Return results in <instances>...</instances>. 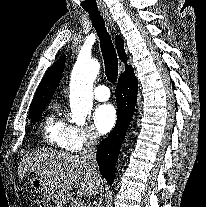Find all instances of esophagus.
<instances>
[{"label": "esophagus", "instance_id": "34e87169", "mask_svg": "<svg viewBox=\"0 0 206 207\" xmlns=\"http://www.w3.org/2000/svg\"><path fill=\"white\" fill-rule=\"evenodd\" d=\"M102 16L106 20L107 24L111 26L112 29H115L113 18L108 10H102Z\"/></svg>", "mask_w": 206, "mask_h": 207}]
</instances>
